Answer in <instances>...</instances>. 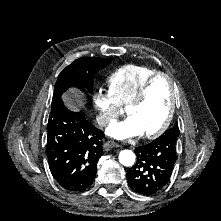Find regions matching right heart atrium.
I'll return each instance as SVG.
<instances>
[{
    "label": "right heart atrium",
    "mask_w": 221,
    "mask_h": 221,
    "mask_svg": "<svg viewBox=\"0 0 221 221\" xmlns=\"http://www.w3.org/2000/svg\"><path fill=\"white\" fill-rule=\"evenodd\" d=\"M93 105L97 113V122L102 127L110 125L120 114L121 105L110 90L98 89L93 95Z\"/></svg>",
    "instance_id": "d8ad5b80"
}]
</instances>
